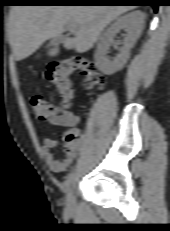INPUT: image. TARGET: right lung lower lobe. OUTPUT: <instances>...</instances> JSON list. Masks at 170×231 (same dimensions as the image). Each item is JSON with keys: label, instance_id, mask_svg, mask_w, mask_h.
<instances>
[{"label": "right lung lower lobe", "instance_id": "1", "mask_svg": "<svg viewBox=\"0 0 170 231\" xmlns=\"http://www.w3.org/2000/svg\"><path fill=\"white\" fill-rule=\"evenodd\" d=\"M60 2H47V0H32L28 4L33 5H149L156 12L160 5V0H58ZM114 1V2H100ZM116 1V2H115Z\"/></svg>", "mask_w": 170, "mask_h": 231}]
</instances>
